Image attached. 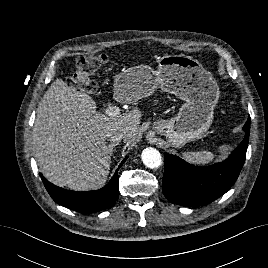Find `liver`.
I'll list each match as a JSON object with an SVG mask.
<instances>
[{
  "label": "liver",
  "mask_w": 268,
  "mask_h": 268,
  "mask_svg": "<svg viewBox=\"0 0 268 268\" xmlns=\"http://www.w3.org/2000/svg\"><path fill=\"white\" fill-rule=\"evenodd\" d=\"M96 109L89 95L62 79L42 97L33 127V153L50 182L77 191L101 187L111 163L106 131H122L126 143L135 139L141 120L137 108L116 117Z\"/></svg>",
  "instance_id": "6515ba94"
}]
</instances>
